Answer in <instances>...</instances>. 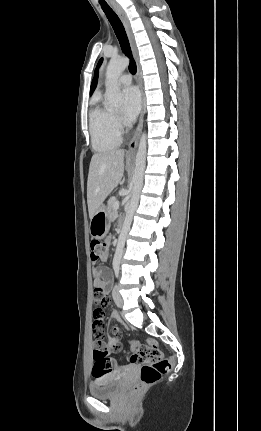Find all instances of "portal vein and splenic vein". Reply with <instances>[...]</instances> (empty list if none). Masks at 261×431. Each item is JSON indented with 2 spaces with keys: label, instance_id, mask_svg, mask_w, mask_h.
I'll list each match as a JSON object with an SVG mask.
<instances>
[{
  "label": "portal vein and splenic vein",
  "instance_id": "1",
  "mask_svg": "<svg viewBox=\"0 0 261 431\" xmlns=\"http://www.w3.org/2000/svg\"><path fill=\"white\" fill-rule=\"evenodd\" d=\"M114 208H115V209H118V208H119V202H115V203H114Z\"/></svg>",
  "mask_w": 261,
  "mask_h": 431
}]
</instances>
